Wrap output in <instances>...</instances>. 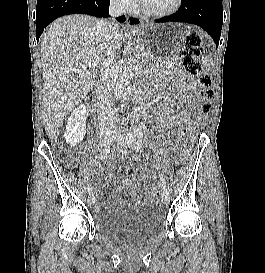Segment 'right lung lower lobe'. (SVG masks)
<instances>
[{"label": "right lung lower lobe", "instance_id": "98d812e1", "mask_svg": "<svg viewBox=\"0 0 265 273\" xmlns=\"http://www.w3.org/2000/svg\"><path fill=\"white\" fill-rule=\"evenodd\" d=\"M110 0H37L36 39L53 20L69 14H89L96 17H109ZM124 22L125 17L117 18Z\"/></svg>", "mask_w": 265, "mask_h": 273}]
</instances>
